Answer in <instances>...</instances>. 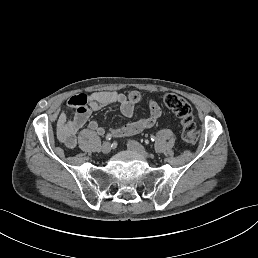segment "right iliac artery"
Listing matches in <instances>:
<instances>
[{"mask_svg": "<svg viewBox=\"0 0 258 258\" xmlns=\"http://www.w3.org/2000/svg\"><path fill=\"white\" fill-rule=\"evenodd\" d=\"M105 138L107 141H110L112 139V134L108 133Z\"/></svg>", "mask_w": 258, "mask_h": 258, "instance_id": "obj_1", "label": "right iliac artery"}]
</instances>
